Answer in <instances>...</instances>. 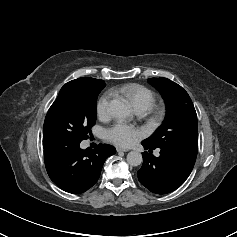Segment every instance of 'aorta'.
Listing matches in <instances>:
<instances>
[{
  "label": "aorta",
  "instance_id": "762f6f07",
  "mask_svg": "<svg viewBox=\"0 0 237 237\" xmlns=\"http://www.w3.org/2000/svg\"><path fill=\"white\" fill-rule=\"evenodd\" d=\"M109 109L115 117L120 119H125L131 116L129 106L125 102L118 99H114L110 102ZM142 162V154L138 151H131L127 154V163L130 166H139Z\"/></svg>",
  "mask_w": 237,
  "mask_h": 237
}]
</instances>
